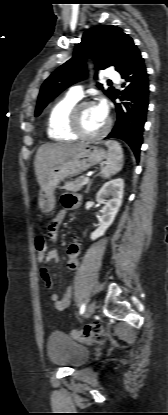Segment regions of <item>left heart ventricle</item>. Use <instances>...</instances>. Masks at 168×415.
Wrapping results in <instances>:
<instances>
[{"label":"left heart ventricle","mask_w":168,"mask_h":415,"mask_svg":"<svg viewBox=\"0 0 168 415\" xmlns=\"http://www.w3.org/2000/svg\"><path fill=\"white\" fill-rule=\"evenodd\" d=\"M82 129L89 134L99 132L106 123V118L101 117L94 104L86 106L80 113Z\"/></svg>","instance_id":"1"}]
</instances>
